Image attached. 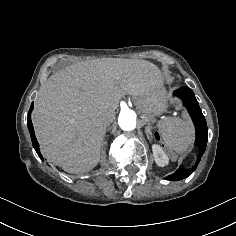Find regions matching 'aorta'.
<instances>
[{
    "label": "aorta",
    "instance_id": "obj_1",
    "mask_svg": "<svg viewBox=\"0 0 236 236\" xmlns=\"http://www.w3.org/2000/svg\"><path fill=\"white\" fill-rule=\"evenodd\" d=\"M119 127L124 131H132L137 126L136 113L131 109L122 110L118 118Z\"/></svg>",
    "mask_w": 236,
    "mask_h": 236
}]
</instances>
